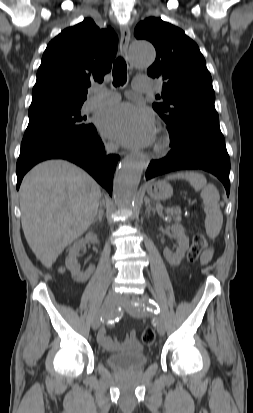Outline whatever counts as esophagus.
Wrapping results in <instances>:
<instances>
[{"instance_id":"obj_1","label":"esophagus","mask_w":253,"mask_h":413,"mask_svg":"<svg viewBox=\"0 0 253 413\" xmlns=\"http://www.w3.org/2000/svg\"><path fill=\"white\" fill-rule=\"evenodd\" d=\"M129 41H130V30L127 25H121L120 26V50H121L122 56L127 62L128 70L132 71L133 66L128 56ZM142 162H143V166L146 167L149 164L150 160L149 158L142 156Z\"/></svg>"}]
</instances>
